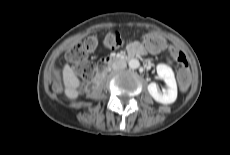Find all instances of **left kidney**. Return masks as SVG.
<instances>
[{
	"instance_id": "left-kidney-1",
	"label": "left kidney",
	"mask_w": 230,
	"mask_h": 155,
	"mask_svg": "<svg viewBox=\"0 0 230 155\" xmlns=\"http://www.w3.org/2000/svg\"><path fill=\"white\" fill-rule=\"evenodd\" d=\"M157 74L160 79L164 80L167 90L163 93L159 92L156 83L152 82L148 85V92L153 99L162 104H172L177 98V84L173 70L165 65H157Z\"/></svg>"
}]
</instances>
